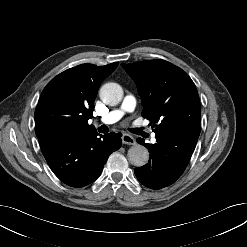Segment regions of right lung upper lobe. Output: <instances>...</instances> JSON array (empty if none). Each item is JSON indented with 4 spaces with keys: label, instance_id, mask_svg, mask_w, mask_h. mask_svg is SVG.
I'll return each mask as SVG.
<instances>
[{
    "label": "right lung upper lobe",
    "instance_id": "cb5924a9",
    "mask_svg": "<svg viewBox=\"0 0 247 247\" xmlns=\"http://www.w3.org/2000/svg\"><path fill=\"white\" fill-rule=\"evenodd\" d=\"M118 66L82 64L53 78L41 93L35 110V133L41 149L58 131L94 132L88 125L100 83Z\"/></svg>",
    "mask_w": 247,
    "mask_h": 247
}]
</instances>
